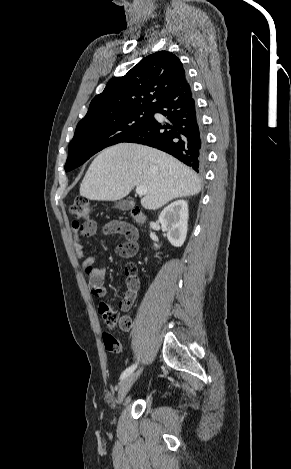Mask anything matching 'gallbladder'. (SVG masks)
<instances>
[{
  "label": "gallbladder",
  "instance_id": "bac80fb5",
  "mask_svg": "<svg viewBox=\"0 0 291 469\" xmlns=\"http://www.w3.org/2000/svg\"><path fill=\"white\" fill-rule=\"evenodd\" d=\"M134 206V202L131 200H119L116 201L115 208L123 211H127Z\"/></svg>",
  "mask_w": 291,
  "mask_h": 469
}]
</instances>
